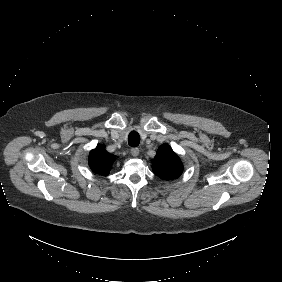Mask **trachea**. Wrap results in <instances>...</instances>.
Here are the masks:
<instances>
[{
    "instance_id": "3493384b",
    "label": "trachea",
    "mask_w": 282,
    "mask_h": 282,
    "mask_svg": "<svg viewBox=\"0 0 282 282\" xmlns=\"http://www.w3.org/2000/svg\"><path fill=\"white\" fill-rule=\"evenodd\" d=\"M139 143H140L139 134L135 131L130 132V134L128 135V144L131 147H137Z\"/></svg>"
}]
</instances>
